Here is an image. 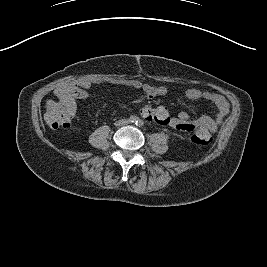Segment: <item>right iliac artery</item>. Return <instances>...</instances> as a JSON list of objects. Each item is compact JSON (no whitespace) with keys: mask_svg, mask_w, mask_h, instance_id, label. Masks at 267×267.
<instances>
[{"mask_svg":"<svg viewBox=\"0 0 267 267\" xmlns=\"http://www.w3.org/2000/svg\"><path fill=\"white\" fill-rule=\"evenodd\" d=\"M137 121H138V117H136V116H134V115L131 116V117L129 118V122H130V123H135V124H136Z\"/></svg>","mask_w":267,"mask_h":267,"instance_id":"82829eb1","label":"right iliac artery"}]
</instances>
